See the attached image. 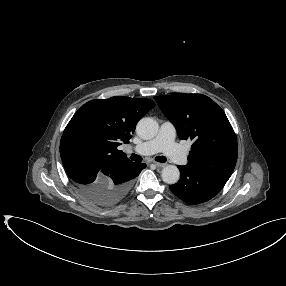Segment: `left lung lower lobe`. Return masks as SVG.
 <instances>
[{
    "label": "left lung lower lobe",
    "mask_w": 286,
    "mask_h": 286,
    "mask_svg": "<svg viewBox=\"0 0 286 286\" xmlns=\"http://www.w3.org/2000/svg\"><path fill=\"white\" fill-rule=\"evenodd\" d=\"M180 180L170 185V190L181 200L188 204L206 202L217 195L224 187L226 181L222 178L191 168L178 166Z\"/></svg>",
    "instance_id": "1"
}]
</instances>
